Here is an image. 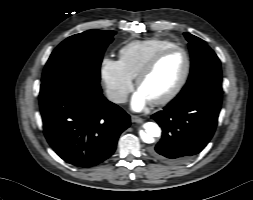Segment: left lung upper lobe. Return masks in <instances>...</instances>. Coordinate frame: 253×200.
Listing matches in <instances>:
<instances>
[{
	"label": "left lung upper lobe",
	"mask_w": 253,
	"mask_h": 200,
	"mask_svg": "<svg viewBox=\"0 0 253 200\" xmlns=\"http://www.w3.org/2000/svg\"><path fill=\"white\" fill-rule=\"evenodd\" d=\"M191 54V72L176 100H185L204 89L222 90L220 60L202 39L185 32Z\"/></svg>",
	"instance_id": "left-lung-upper-lobe-1"
}]
</instances>
